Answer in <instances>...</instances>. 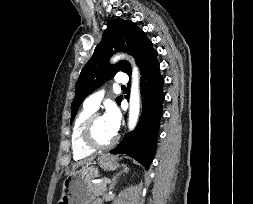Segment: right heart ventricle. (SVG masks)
Here are the masks:
<instances>
[{"mask_svg": "<svg viewBox=\"0 0 253 204\" xmlns=\"http://www.w3.org/2000/svg\"><path fill=\"white\" fill-rule=\"evenodd\" d=\"M94 112V109L84 106L76 116L71 135L72 153L76 160L84 159L92 155L94 152V150L88 147L83 140L84 125Z\"/></svg>", "mask_w": 253, "mask_h": 204, "instance_id": "right-heart-ventricle-1", "label": "right heart ventricle"}]
</instances>
